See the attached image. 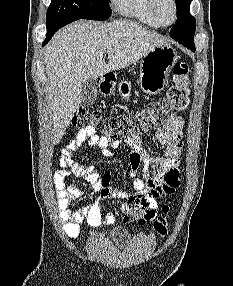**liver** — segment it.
<instances>
[{"mask_svg":"<svg viewBox=\"0 0 233 286\" xmlns=\"http://www.w3.org/2000/svg\"><path fill=\"white\" fill-rule=\"evenodd\" d=\"M162 45H168L165 38L127 20H80L61 29L44 50L53 143L61 141L80 108L81 89L87 79L128 67ZM106 53L108 63L104 59Z\"/></svg>","mask_w":233,"mask_h":286,"instance_id":"liver-1","label":"liver"}]
</instances>
